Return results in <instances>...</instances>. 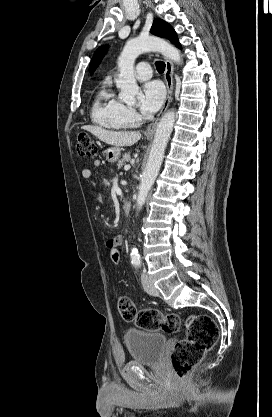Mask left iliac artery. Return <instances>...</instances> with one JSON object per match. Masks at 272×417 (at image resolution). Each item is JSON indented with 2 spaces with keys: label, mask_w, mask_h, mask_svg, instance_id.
Returning <instances> with one entry per match:
<instances>
[{
  "label": "left iliac artery",
  "mask_w": 272,
  "mask_h": 417,
  "mask_svg": "<svg viewBox=\"0 0 272 417\" xmlns=\"http://www.w3.org/2000/svg\"><path fill=\"white\" fill-rule=\"evenodd\" d=\"M136 264H137V265H140V261H137V262H136Z\"/></svg>",
  "instance_id": "1"
}]
</instances>
